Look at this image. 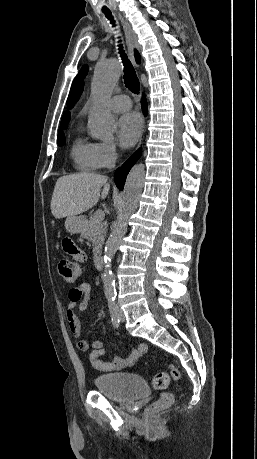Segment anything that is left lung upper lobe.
I'll list each match as a JSON object with an SVG mask.
<instances>
[{
  "label": "left lung upper lobe",
  "instance_id": "5c2ea615",
  "mask_svg": "<svg viewBox=\"0 0 257 459\" xmlns=\"http://www.w3.org/2000/svg\"><path fill=\"white\" fill-rule=\"evenodd\" d=\"M87 72H88V67L87 65H84L80 72L78 73V75L75 77L73 83H72V86H71V90H70V93H69V96H68V100H67V104L69 106H73L77 100L79 99L82 91H83V86H84V82H83V79L85 78V76L87 75Z\"/></svg>",
  "mask_w": 257,
  "mask_h": 459
}]
</instances>
